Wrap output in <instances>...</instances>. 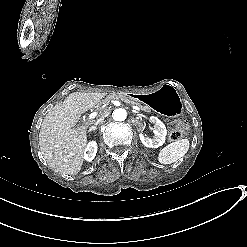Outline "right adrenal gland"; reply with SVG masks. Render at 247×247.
<instances>
[{
  "instance_id": "obj_1",
  "label": "right adrenal gland",
  "mask_w": 247,
  "mask_h": 247,
  "mask_svg": "<svg viewBox=\"0 0 247 247\" xmlns=\"http://www.w3.org/2000/svg\"><path fill=\"white\" fill-rule=\"evenodd\" d=\"M93 129H95V128H90V129H89V132L92 131Z\"/></svg>"
}]
</instances>
